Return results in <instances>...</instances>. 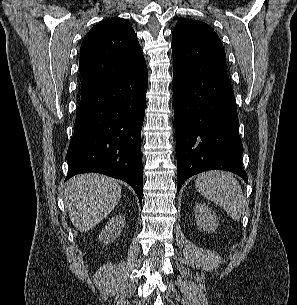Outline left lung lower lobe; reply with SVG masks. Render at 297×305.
Instances as JSON below:
<instances>
[{
    "label": "left lung lower lobe",
    "instance_id": "0a47b994",
    "mask_svg": "<svg viewBox=\"0 0 297 305\" xmlns=\"http://www.w3.org/2000/svg\"><path fill=\"white\" fill-rule=\"evenodd\" d=\"M173 82L177 190L189 177L212 169L233 172L247 183L228 74L195 75L173 62Z\"/></svg>",
    "mask_w": 297,
    "mask_h": 305
}]
</instances>
